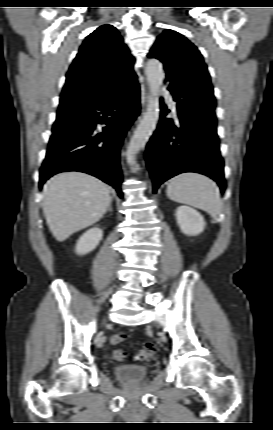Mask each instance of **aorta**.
I'll return each instance as SVG.
<instances>
[{"label": "aorta", "instance_id": "obj_1", "mask_svg": "<svg viewBox=\"0 0 273 430\" xmlns=\"http://www.w3.org/2000/svg\"><path fill=\"white\" fill-rule=\"evenodd\" d=\"M146 76L149 84L151 99L149 101L147 111L139 123L137 129L127 146L126 159L129 165H134L136 162V154L145 146L149 137L156 128L159 113V90L163 84L165 73L163 65L158 60H149L146 67Z\"/></svg>", "mask_w": 273, "mask_h": 430}]
</instances>
